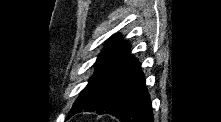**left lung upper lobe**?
Returning <instances> with one entry per match:
<instances>
[{
    "mask_svg": "<svg viewBox=\"0 0 221 122\" xmlns=\"http://www.w3.org/2000/svg\"><path fill=\"white\" fill-rule=\"evenodd\" d=\"M127 47L128 45L125 44L119 36L113 37L107 42L97 58L94 75L90 78L87 86L82 90L69 114L77 110L98 90L108 75L114 70Z\"/></svg>",
    "mask_w": 221,
    "mask_h": 122,
    "instance_id": "obj_1",
    "label": "left lung upper lobe"
}]
</instances>
